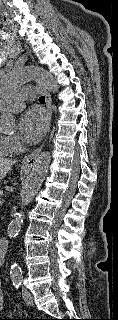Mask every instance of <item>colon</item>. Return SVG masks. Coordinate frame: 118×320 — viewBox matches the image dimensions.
Wrapping results in <instances>:
<instances>
[{"mask_svg": "<svg viewBox=\"0 0 118 320\" xmlns=\"http://www.w3.org/2000/svg\"><path fill=\"white\" fill-rule=\"evenodd\" d=\"M0 320H10V319H0ZM30 320H37V319H30Z\"/></svg>", "mask_w": 118, "mask_h": 320, "instance_id": "5ec220e1", "label": "colon"}]
</instances>
